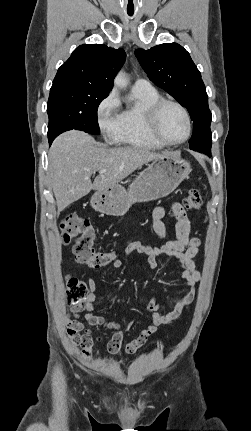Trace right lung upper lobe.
<instances>
[{"label": "right lung upper lobe", "instance_id": "cb5924a9", "mask_svg": "<svg viewBox=\"0 0 251 431\" xmlns=\"http://www.w3.org/2000/svg\"><path fill=\"white\" fill-rule=\"evenodd\" d=\"M125 58L126 54L121 48L114 49L104 44H83L59 67L54 81L70 80L110 91L114 77L124 64Z\"/></svg>", "mask_w": 251, "mask_h": 431}]
</instances>
